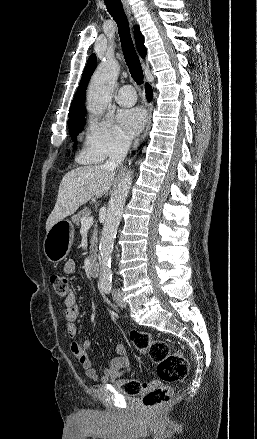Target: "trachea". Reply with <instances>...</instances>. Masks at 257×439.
Returning a JSON list of instances; mask_svg holds the SVG:
<instances>
[{
  "label": "trachea",
  "mask_w": 257,
  "mask_h": 439,
  "mask_svg": "<svg viewBox=\"0 0 257 439\" xmlns=\"http://www.w3.org/2000/svg\"><path fill=\"white\" fill-rule=\"evenodd\" d=\"M108 12L116 21L123 55L129 72L137 84L143 82V70L130 35L129 23L120 0H104Z\"/></svg>",
  "instance_id": "trachea-1"
}]
</instances>
